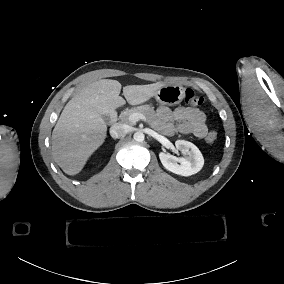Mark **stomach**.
<instances>
[{
    "label": "stomach",
    "instance_id": "stomach-1",
    "mask_svg": "<svg viewBox=\"0 0 284 284\" xmlns=\"http://www.w3.org/2000/svg\"><path fill=\"white\" fill-rule=\"evenodd\" d=\"M185 88L182 85H165L158 90L156 100L161 105L176 106L185 98Z\"/></svg>",
    "mask_w": 284,
    "mask_h": 284
}]
</instances>
